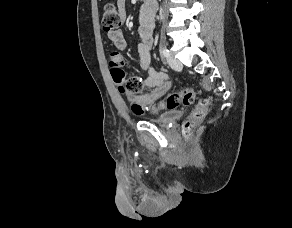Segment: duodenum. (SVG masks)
<instances>
[{"mask_svg":"<svg viewBox=\"0 0 292 228\" xmlns=\"http://www.w3.org/2000/svg\"><path fill=\"white\" fill-rule=\"evenodd\" d=\"M146 4H152L154 3V0H144Z\"/></svg>","mask_w":292,"mask_h":228,"instance_id":"duodenum-1","label":"duodenum"}]
</instances>
